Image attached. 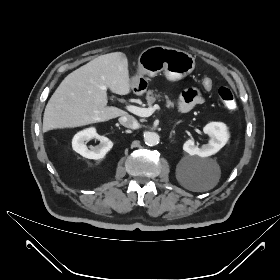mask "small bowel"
<instances>
[{
  "label": "small bowel",
  "mask_w": 280,
  "mask_h": 280,
  "mask_svg": "<svg viewBox=\"0 0 280 280\" xmlns=\"http://www.w3.org/2000/svg\"><path fill=\"white\" fill-rule=\"evenodd\" d=\"M203 98L201 94L194 89H189L179 99V109L182 112L189 111L195 105L202 103Z\"/></svg>",
  "instance_id": "c3829d8e"
}]
</instances>
